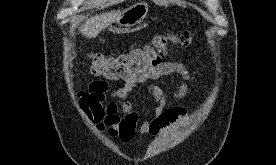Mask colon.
Here are the masks:
<instances>
[{"instance_id":"1","label":"colon","mask_w":276,"mask_h":165,"mask_svg":"<svg viewBox=\"0 0 276 165\" xmlns=\"http://www.w3.org/2000/svg\"><path fill=\"white\" fill-rule=\"evenodd\" d=\"M191 43L189 31H178L156 36L150 44L118 56L92 53L89 55L90 71L109 80L127 81L146 77L164 62L171 47H187Z\"/></svg>"}]
</instances>
